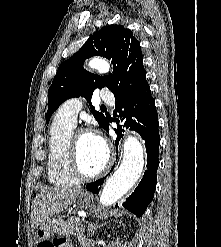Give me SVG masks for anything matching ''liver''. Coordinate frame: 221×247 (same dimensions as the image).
Returning <instances> with one entry per match:
<instances>
[{
	"label": "liver",
	"mask_w": 221,
	"mask_h": 247,
	"mask_svg": "<svg viewBox=\"0 0 221 247\" xmlns=\"http://www.w3.org/2000/svg\"><path fill=\"white\" fill-rule=\"evenodd\" d=\"M80 194L79 188H42L32 204L31 226L33 230L48 221L54 214L74 204Z\"/></svg>",
	"instance_id": "obj_1"
}]
</instances>
